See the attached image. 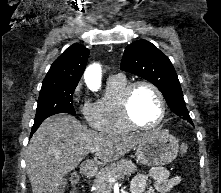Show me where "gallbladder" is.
<instances>
[{
  "label": "gallbladder",
  "instance_id": "bac80fb5",
  "mask_svg": "<svg viewBox=\"0 0 221 193\" xmlns=\"http://www.w3.org/2000/svg\"><path fill=\"white\" fill-rule=\"evenodd\" d=\"M66 184H67V179H63L62 182H61V184H60L61 193H63Z\"/></svg>",
  "mask_w": 221,
  "mask_h": 193
}]
</instances>
